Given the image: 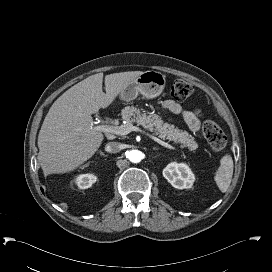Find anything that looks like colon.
I'll list each match as a JSON object with an SVG mask.
<instances>
[{
  "mask_svg": "<svg viewBox=\"0 0 272 272\" xmlns=\"http://www.w3.org/2000/svg\"><path fill=\"white\" fill-rule=\"evenodd\" d=\"M170 93L173 98L184 100L191 95L192 86L184 80H177L172 84ZM202 134L214 152L219 153L225 149L227 139L215 122L210 120L204 121Z\"/></svg>",
  "mask_w": 272,
  "mask_h": 272,
  "instance_id": "5ec220e1",
  "label": "colon"
}]
</instances>
